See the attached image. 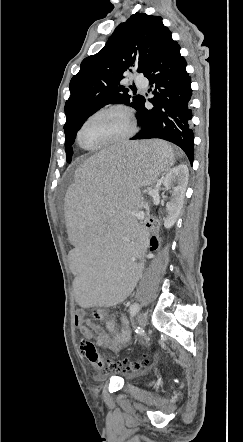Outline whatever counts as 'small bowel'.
<instances>
[{
    "label": "small bowel",
    "instance_id": "small-bowel-1",
    "mask_svg": "<svg viewBox=\"0 0 243 442\" xmlns=\"http://www.w3.org/2000/svg\"><path fill=\"white\" fill-rule=\"evenodd\" d=\"M94 320H103L105 328ZM74 322L84 340L94 338L98 346L112 352H118L131 338L129 321L126 318L121 319L120 329L113 319H105L98 312H95L93 317H87L85 310L81 309L75 314Z\"/></svg>",
    "mask_w": 243,
    "mask_h": 442
}]
</instances>
